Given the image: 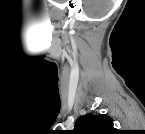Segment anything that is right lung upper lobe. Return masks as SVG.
I'll return each mask as SVG.
<instances>
[{
	"mask_svg": "<svg viewBox=\"0 0 145 134\" xmlns=\"http://www.w3.org/2000/svg\"><path fill=\"white\" fill-rule=\"evenodd\" d=\"M113 120L105 114L89 113L81 116L75 123L74 134H115Z\"/></svg>",
	"mask_w": 145,
	"mask_h": 134,
	"instance_id": "cb5924a9",
	"label": "right lung upper lobe"
}]
</instances>
